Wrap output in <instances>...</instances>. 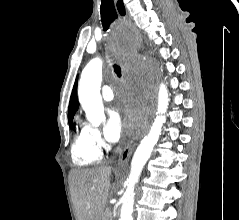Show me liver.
<instances>
[{"label":"liver","instance_id":"liver-1","mask_svg":"<svg viewBox=\"0 0 239 220\" xmlns=\"http://www.w3.org/2000/svg\"><path fill=\"white\" fill-rule=\"evenodd\" d=\"M111 167L74 169L69 174L77 220H102L110 190Z\"/></svg>","mask_w":239,"mask_h":220}]
</instances>
